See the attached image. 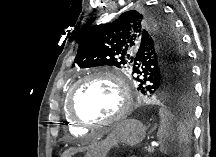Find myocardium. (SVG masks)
<instances>
[{
  "instance_id": "f54148a6",
  "label": "myocardium",
  "mask_w": 216,
  "mask_h": 157,
  "mask_svg": "<svg viewBox=\"0 0 216 157\" xmlns=\"http://www.w3.org/2000/svg\"><path fill=\"white\" fill-rule=\"evenodd\" d=\"M91 79L108 80L112 82L114 85H116V87L119 90L120 107L116 112V114L109 119L101 120V121H87L79 117L74 110L73 99H74V94L76 89L79 87V85ZM131 105H132V97H131L129 85L126 82V80L113 71L97 70L84 75L72 85L66 100V112H67V116L76 124L82 127L92 128V127H99V126H109L120 122L129 113L131 109Z\"/></svg>"
}]
</instances>
